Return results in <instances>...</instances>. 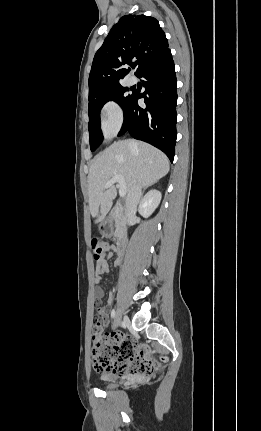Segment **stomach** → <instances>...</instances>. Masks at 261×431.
I'll list each match as a JSON object with an SVG mask.
<instances>
[{"mask_svg":"<svg viewBox=\"0 0 261 431\" xmlns=\"http://www.w3.org/2000/svg\"><path fill=\"white\" fill-rule=\"evenodd\" d=\"M99 231L103 236L110 237L114 233L113 222L110 219L102 221L99 225Z\"/></svg>","mask_w":261,"mask_h":431,"instance_id":"obj_1","label":"stomach"}]
</instances>
